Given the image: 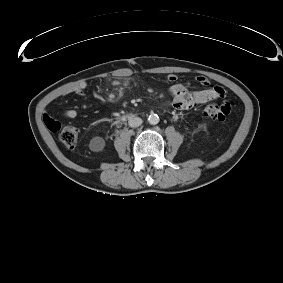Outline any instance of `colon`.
Returning <instances> with one entry per match:
<instances>
[{
	"label": "colon",
	"instance_id": "colon-1",
	"mask_svg": "<svg viewBox=\"0 0 283 283\" xmlns=\"http://www.w3.org/2000/svg\"><path fill=\"white\" fill-rule=\"evenodd\" d=\"M231 107L228 103L222 105L209 104L203 109L204 116L212 121H224L228 114L230 113ZM60 141L67 147H74L78 141L79 131L74 126H65L60 128L58 124L57 129H52L51 131H58Z\"/></svg>",
	"mask_w": 283,
	"mask_h": 283
}]
</instances>
